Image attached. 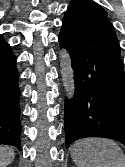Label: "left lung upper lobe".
<instances>
[{
	"label": "left lung upper lobe",
	"mask_w": 125,
	"mask_h": 167,
	"mask_svg": "<svg viewBox=\"0 0 125 167\" xmlns=\"http://www.w3.org/2000/svg\"><path fill=\"white\" fill-rule=\"evenodd\" d=\"M107 12L93 0H73L65 12L63 22L95 24L108 21Z\"/></svg>",
	"instance_id": "1"
}]
</instances>
